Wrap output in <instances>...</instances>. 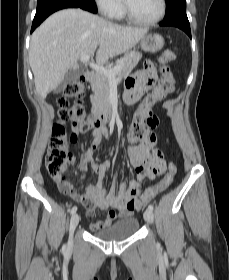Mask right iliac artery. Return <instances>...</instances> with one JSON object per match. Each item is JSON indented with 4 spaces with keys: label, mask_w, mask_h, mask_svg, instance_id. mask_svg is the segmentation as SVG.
<instances>
[{
    "label": "right iliac artery",
    "mask_w": 229,
    "mask_h": 280,
    "mask_svg": "<svg viewBox=\"0 0 229 280\" xmlns=\"http://www.w3.org/2000/svg\"><path fill=\"white\" fill-rule=\"evenodd\" d=\"M76 211H77V207L74 206V207H72L70 213L73 215L74 213H76Z\"/></svg>",
    "instance_id": "1"
}]
</instances>
